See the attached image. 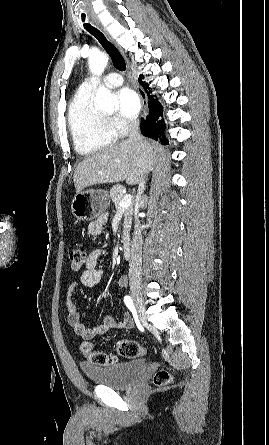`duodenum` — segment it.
<instances>
[{
  "mask_svg": "<svg viewBox=\"0 0 269 445\" xmlns=\"http://www.w3.org/2000/svg\"><path fill=\"white\" fill-rule=\"evenodd\" d=\"M122 255L125 259H128L131 255V244L129 241H125L122 246Z\"/></svg>",
  "mask_w": 269,
  "mask_h": 445,
  "instance_id": "410a0bca",
  "label": "duodenum"
}]
</instances>
